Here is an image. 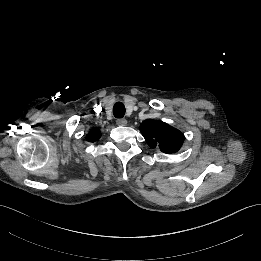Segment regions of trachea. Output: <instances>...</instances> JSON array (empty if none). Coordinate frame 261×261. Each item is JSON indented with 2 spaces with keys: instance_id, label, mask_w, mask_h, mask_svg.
<instances>
[{
  "instance_id": "obj_1",
  "label": "trachea",
  "mask_w": 261,
  "mask_h": 261,
  "mask_svg": "<svg viewBox=\"0 0 261 261\" xmlns=\"http://www.w3.org/2000/svg\"><path fill=\"white\" fill-rule=\"evenodd\" d=\"M126 109L122 102H116L113 106V115L116 118H122L125 115Z\"/></svg>"
}]
</instances>
